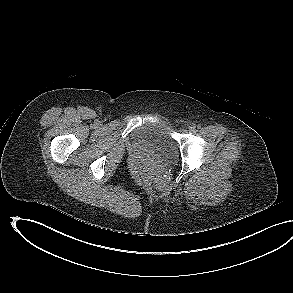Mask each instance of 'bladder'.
Here are the masks:
<instances>
[{
    "instance_id": "bladder-1",
    "label": "bladder",
    "mask_w": 293,
    "mask_h": 293,
    "mask_svg": "<svg viewBox=\"0 0 293 293\" xmlns=\"http://www.w3.org/2000/svg\"><path fill=\"white\" fill-rule=\"evenodd\" d=\"M133 139L160 162H170L177 156L178 148L171 128L163 120L144 123L134 131Z\"/></svg>"
}]
</instances>
